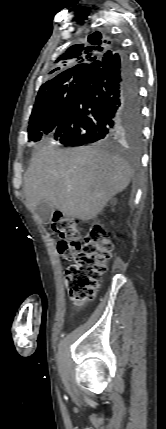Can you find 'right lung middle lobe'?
I'll list each match as a JSON object with an SVG mask.
<instances>
[{
  "label": "right lung middle lobe",
  "instance_id": "right-lung-middle-lobe-1",
  "mask_svg": "<svg viewBox=\"0 0 166 429\" xmlns=\"http://www.w3.org/2000/svg\"><path fill=\"white\" fill-rule=\"evenodd\" d=\"M84 77L85 75H77L64 79L37 95L29 119V140L40 141L55 131L73 93L84 80ZM140 128L141 126L124 129L125 132L122 133V137L136 145L140 140Z\"/></svg>",
  "mask_w": 166,
  "mask_h": 429
}]
</instances>
